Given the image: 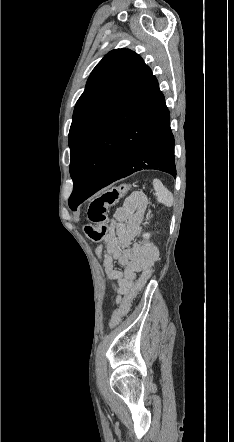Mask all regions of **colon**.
<instances>
[{"instance_id": "5ec220e1", "label": "colon", "mask_w": 234, "mask_h": 442, "mask_svg": "<svg viewBox=\"0 0 234 442\" xmlns=\"http://www.w3.org/2000/svg\"><path fill=\"white\" fill-rule=\"evenodd\" d=\"M126 184L104 191L94 198L88 208L87 216L91 224L85 226V232L92 241H100L107 235V214L108 208L118 202V200L128 191ZM154 268L159 266L157 261L152 263ZM152 274V268L142 273L136 284L124 298L120 308L114 313L110 326H116L128 312L131 302L136 294L145 286Z\"/></svg>"}]
</instances>
